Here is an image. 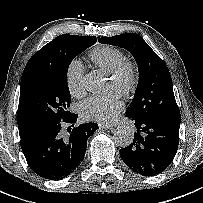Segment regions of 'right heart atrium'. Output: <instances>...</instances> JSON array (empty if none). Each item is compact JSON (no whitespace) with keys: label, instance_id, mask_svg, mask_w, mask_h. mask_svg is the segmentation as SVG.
<instances>
[{"label":"right heart atrium","instance_id":"1","mask_svg":"<svg viewBox=\"0 0 203 203\" xmlns=\"http://www.w3.org/2000/svg\"><path fill=\"white\" fill-rule=\"evenodd\" d=\"M84 66L78 59L72 60L66 70V83L73 96H79L83 92Z\"/></svg>","mask_w":203,"mask_h":203}]
</instances>
